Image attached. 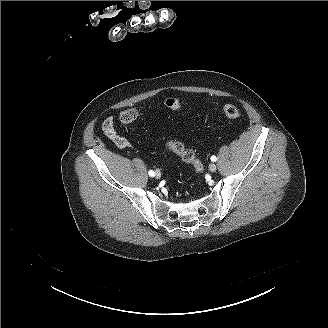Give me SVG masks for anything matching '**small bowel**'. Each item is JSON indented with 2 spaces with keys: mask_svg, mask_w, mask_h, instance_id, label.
I'll return each instance as SVG.
<instances>
[{
  "mask_svg": "<svg viewBox=\"0 0 328 328\" xmlns=\"http://www.w3.org/2000/svg\"><path fill=\"white\" fill-rule=\"evenodd\" d=\"M102 127L103 129L112 136V138L114 139V141L122 148H125V147H130V143L123 139V138H120L118 136L115 135V132H114V122H113V119L112 117H108L104 120L103 124H102ZM109 130L111 131V133H109Z\"/></svg>",
  "mask_w": 328,
  "mask_h": 328,
  "instance_id": "c3829d8e",
  "label": "small bowel"
}]
</instances>
